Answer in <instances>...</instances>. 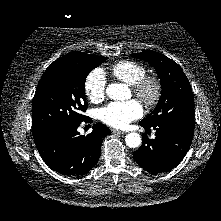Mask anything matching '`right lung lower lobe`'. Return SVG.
<instances>
[{"label":"right lung lower lobe","instance_id":"obj_1","mask_svg":"<svg viewBox=\"0 0 221 221\" xmlns=\"http://www.w3.org/2000/svg\"><path fill=\"white\" fill-rule=\"evenodd\" d=\"M89 120L86 118L83 121ZM81 122L57 126L34 138L42 159L52 170L64 175L81 176L98 162L102 139L110 134V129L98 123L90 134L82 136L77 131Z\"/></svg>","mask_w":221,"mask_h":221}]
</instances>
